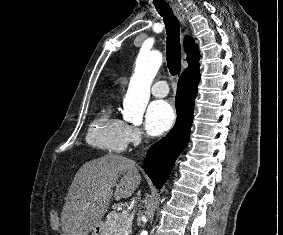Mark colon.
<instances>
[{"label": "colon", "instance_id": "obj_1", "mask_svg": "<svg viewBox=\"0 0 283 235\" xmlns=\"http://www.w3.org/2000/svg\"><path fill=\"white\" fill-rule=\"evenodd\" d=\"M50 216H51V219H52L53 221H57V220H58V214H57L56 211H52L51 214H50Z\"/></svg>", "mask_w": 283, "mask_h": 235}]
</instances>
